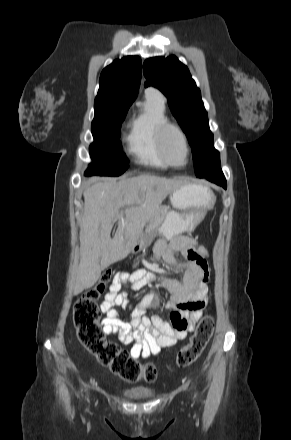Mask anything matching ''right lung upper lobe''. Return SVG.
Listing matches in <instances>:
<instances>
[{"mask_svg":"<svg viewBox=\"0 0 291 440\" xmlns=\"http://www.w3.org/2000/svg\"><path fill=\"white\" fill-rule=\"evenodd\" d=\"M141 59L126 56L103 69L94 107L129 106L136 99L141 81Z\"/></svg>","mask_w":291,"mask_h":440,"instance_id":"obj_1","label":"right lung upper lobe"}]
</instances>
